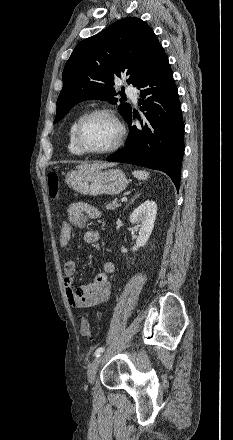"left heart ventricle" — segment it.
Returning a JSON list of instances; mask_svg holds the SVG:
<instances>
[{
  "label": "left heart ventricle",
  "mask_w": 233,
  "mask_h": 440,
  "mask_svg": "<svg viewBox=\"0 0 233 440\" xmlns=\"http://www.w3.org/2000/svg\"><path fill=\"white\" fill-rule=\"evenodd\" d=\"M117 137V128L113 121L103 115L94 116L84 124L80 140L90 150H103L110 147Z\"/></svg>",
  "instance_id": "b2bd125f"
}]
</instances>
